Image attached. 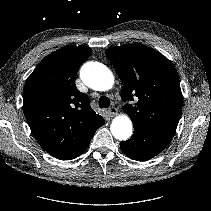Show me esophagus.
I'll return each mask as SVG.
<instances>
[{"mask_svg": "<svg viewBox=\"0 0 211 211\" xmlns=\"http://www.w3.org/2000/svg\"><path fill=\"white\" fill-rule=\"evenodd\" d=\"M108 114L110 116H115L117 114V108L116 107H110L108 110Z\"/></svg>", "mask_w": 211, "mask_h": 211, "instance_id": "34e87169", "label": "esophagus"}]
</instances>
